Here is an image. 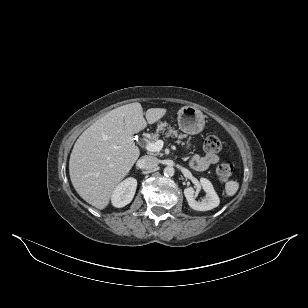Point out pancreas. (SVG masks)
I'll list each match as a JSON object with an SVG mask.
<instances>
[{
	"instance_id": "1",
	"label": "pancreas",
	"mask_w": 308,
	"mask_h": 308,
	"mask_svg": "<svg viewBox=\"0 0 308 308\" xmlns=\"http://www.w3.org/2000/svg\"><path fill=\"white\" fill-rule=\"evenodd\" d=\"M166 127L168 129V132L166 133V137L174 136L177 137L178 139H183L185 135L178 134L177 130H175L173 127H171L168 123L166 122H160L157 125L156 133L151 135V138L146 139L145 141L147 143H155L158 138H159V133H164L166 130ZM180 143V141H177Z\"/></svg>"
}]
</instances>
